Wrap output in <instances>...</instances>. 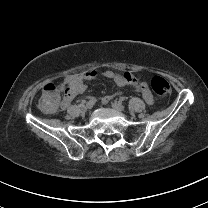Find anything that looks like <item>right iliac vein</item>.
<instances>
[{
	"label": "right iliac vein",
	"mask_w": 208,
	"mask_h": 208,
	"mask_svg": "<svg viewBox=\"0 0 208 208\" xmlns=\"http://www.w3.org/2000/svg\"><path fill=\"white\" fill-rule=\"evenodd\" d=\"M94 106V103L92 101L87 102L86 107L87 109H92Z\"/></svg>",
	"instance_id": "1"
}]
</instances>
